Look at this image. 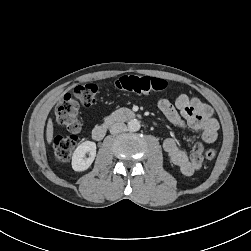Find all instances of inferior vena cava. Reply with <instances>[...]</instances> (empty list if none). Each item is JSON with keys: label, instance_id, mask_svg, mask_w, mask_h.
<instances>
[{"label": "inferior vena cava", "instance_id": "1", "mask_svg": "<svg viewBox=\"0 0 251 251\" xmlns=\"http://www.w3.org/2000/svg\"><path fill=\"white\" fill-rule=\"evenodd\" d=\"M127 127L124 123H115L111 126L110 128V133L111 134H118L123 131H126Z\"/></svg>", "mask_w": 251, "mask_h": 251}]
</instances>
